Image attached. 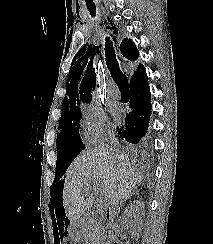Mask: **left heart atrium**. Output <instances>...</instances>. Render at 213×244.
I'll use <instances>...</instances> for the list:
<instances>
[{
    "label": "left heart atrium",
    "instance_id": "39dd6f15",
    "mask_svg": "<svg viewBox=\"0 0 213 244\" xmlns=\"http://www.w3.org/2000/svg\"><path fill=\"white\" fill-rule=\"evenodd\" d=\"M113 113H114V114L116 113V108H115V107L113 108Z\"/></svg>",
    "mask_w": 213,
    "mask_h": 244
}]
</instances>
